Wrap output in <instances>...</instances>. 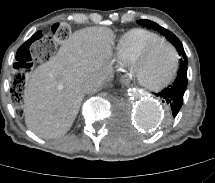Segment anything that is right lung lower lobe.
<instances>
[{"label": "right lung lower lobe", "instance_id": "obj_1", "mask_svg": "<svg viewBox=\"0 0 215 183\" xmlns=\"http://www.w3.org/2000/svg\"><path fill=\"white\" fill-rule=\"evenodd\" d=\"M19 85H16L15 87H13L12 89H11V91L13 92V94H16L17 95V91L19 90Z\"/></svg>", "mask_w": 215, "mask_h": 183}]
</instances>
